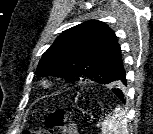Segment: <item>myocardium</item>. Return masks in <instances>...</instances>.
<instances>
[{"mask_svg": "<svg viewBox=\"0 0 153 134\" xmlns=\"http://www.w3.org/2000/svg\"><path fill=\"white\" fill-rule=\"evenodd\" d=\"M56 82L52 78H44L41 81V86L44 89H52L55 86Z\"/></svg>", "mask_w": 153, "mask_h": 134, "instance_id": "obj_1", "label": "myocardium"}]
</instances>
